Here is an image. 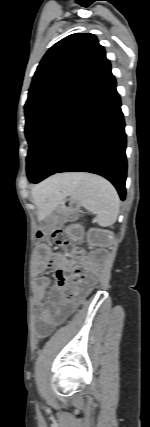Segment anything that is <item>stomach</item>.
<instances>
[{
	"label": "stomach",
	"mask_w": 150,
	"mask_h": 427,
	"mask_svg": "<svg viewBox=\"0 0 150 427\" xmlns=\"http://www.w3.org/2000/svg\"><path fill=\"white\" fill-rule=\"evenodd\" d=\"M57 208L61 212L73 211L77 208V202L72 198L67 200L65 197H63L57 201Z\"/></svg>",
	"instance_id": "stomach-1"
}]
</instances>
